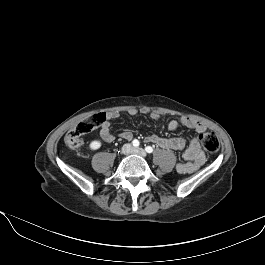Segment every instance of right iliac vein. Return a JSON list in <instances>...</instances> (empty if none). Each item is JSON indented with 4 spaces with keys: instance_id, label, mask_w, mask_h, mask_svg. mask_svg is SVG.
<instances>
[{
    "instance_id": "right-iliac-vein-1",
    "label": "right iliac vein",
    "mask_w": 265,
    "mask_h": 265,
    "mask_svg": "<svg viewBox=\"0 0 265 265\" xmlns=\"http://www.w3.org/2000/svg\"><path fill=\"white\" fill-rule=\"evenodd\" d=\"M133 150L132 146L130 144H125L122 147V153L125 155H128L129 153H131Z\"/></svg>"
}]
</instances>
